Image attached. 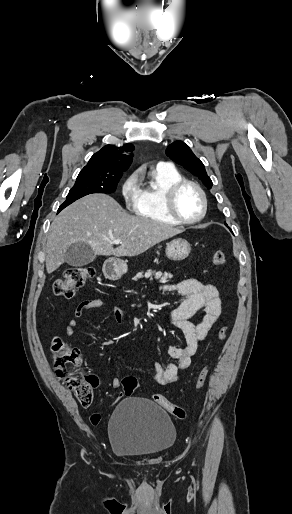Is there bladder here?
<instances>
[{"label":"bladder","mask_w":292,"mask_h":514,"mask_svg":"<svg viewBox=\"0 0 292 514\" xmlns=\"http://www.w3.org/2000/svg\"><path fill=\"white\" fill-rule=\"evenodd\" d=\"M176 437V428L167 412L147 399H124L110 417V444L119 457L161 454L174 445Z\"/></svg>","instance_id":"1"}]
</instances>
